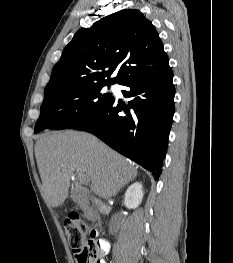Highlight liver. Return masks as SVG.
<instances>
[{
    "instance_id": "1",
    "label": "liver",
    "mask_w": 233,
    "mask_h": 263,
    "mask_svg": "<svg viewBox=\"0 0 233 263\" xmlns=\"http://www.w3.org/2000/svg\"><path fill=\"white\" fill-rule=\"evenodd\" d=\"M35 156L44 200L52 207L64 203L75 171L86 174L91 191L104 199L116 195L137 176V168L126 158L85 132L44 134L36 141Z\"/></svg>"
}]
</instances>
